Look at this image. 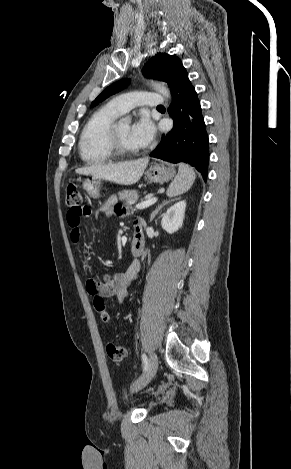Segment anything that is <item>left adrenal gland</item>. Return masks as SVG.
<instances>
[{
    "label": "left adrenal gland",
    "mask_w": 291,
    "mask_h": 469,
    "mask_svg": "<svg viewBox=\"0 0 291 469\" xmlns=\"http://www.w3.org/2000/svg\"><path fill=\"white\" fill-rule=\"evenodd\" d=\"M174 200H166L162 204H160L152 213L150 216V222L154 219V217L157 215V213L161 210L162 207H164L166 204H169Z\"/></svg>",
    "instance_id": "obj_1"
}]
</instances>
